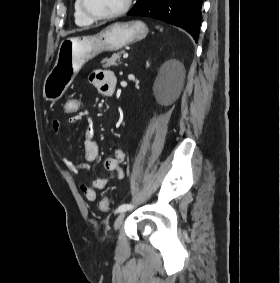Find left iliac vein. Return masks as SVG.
I'll use <instances>...</instances> for the list:
<instances>
[{"mask_svg":"<svg viewBox=\"0 0 280 283\" xmlns=\"http://www.w3.org/2000/svg\"><path fill=\"white\" fill-rule=\"evenodd\" d=\"M125 214H126L125 211H123L115 219V222H114V230L115 231L120 229V227L122 226L124 219H125Z\"/></svg>","mask_w":280,"mask_h":283,"instance_id":"left-iliac-vein-1","label":"left iliac vein"}]
</instances>
